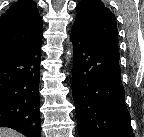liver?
I'll use <instances>...</instances> for the list:
<instances>
[{
	"mask_svg": "<svg viewBox=\"0 0 144 137\" xmlns=\"http://www.w3.org/2000/svg\"><path fill=\"white\" fill-rule=\"evenodd\" d=\"M0 137H22V135L10 128H0Z\"/></svg>",
	"mask_w": 144,
	"mask_h": 137,
	"instance_id": "6515ba94",
	"label": "liver"
}]
</instances>
